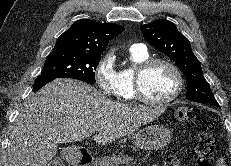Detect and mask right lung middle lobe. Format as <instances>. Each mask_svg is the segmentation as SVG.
I'll return each instance as SVG.
<instances>
[{"mask_svg":"<svg viewBox=\"0 0 231 166\" xmlns=\"http://www.w3.org/2000/svg\"><path fill=\"white\" fill-rule=\"evenodd\" d=\"M101 55L71 50H53L46 58L40 75L56 78H74L88 84L95 83V70Z\"/></svg>","mask_w":231,"mask_h":166,"instance_id":"dd1d6c3e","label":"right lung middle lobe"}]
</instances>
